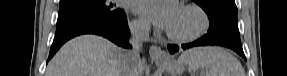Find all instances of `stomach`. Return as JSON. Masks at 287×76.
I'll list each match as a JSON object with an SVG mask.
<instances>
[{"mask_svg":"<svg viewBox=\"0 0 287 76\" xmlns=\"http://www.w3.org/2000/svg\"><path fill=\"white\" fill-rule=\"evenodd\" d=\"M156 63L166 69L170 76H180L184 70L186 63L173 58H169L166 61H156Z\"/></svg>","mask_w":287,"mask_h":76,"instance_id":"0dacf381","label":"stomach"}]
</instances>
